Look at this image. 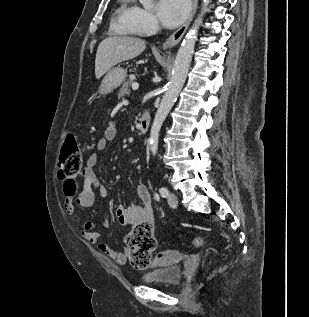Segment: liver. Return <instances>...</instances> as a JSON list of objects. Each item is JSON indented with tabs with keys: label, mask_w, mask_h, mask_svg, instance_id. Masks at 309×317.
Returning a JSON list of instances; mask_svg holds the SVG:
<instances>
[{
	"label": "liver",
	"mask_w": 309,
	"mask_h": 317,
	"mask_svg": "<svg viewBox=\"0 0 309 317\" xmlns=\"http://www.w3.org/2000/svg\"><path fill=\"white\" fill-rule=\"evenodd\" d=\"M145 48L146 43L140 38L113 36L104 39L96 53V78L100 79L118 63L137 57Z\"/></svg>",
	"instance_id": "liver-1"
}]
</instances>
